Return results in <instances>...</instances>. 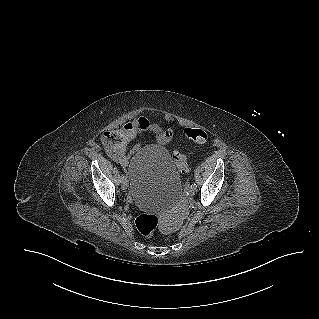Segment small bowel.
<instances>
[{"label": "small bowel", "mask_w": 319, "mask_h": 319, "mask_svg": "<svg viewBox=\"0 0 319 319\" xmlns=\"http://www.w3.org/2000/svg\"><path fill=\"white\" fill-rule=\"evenodd\" d=\"M145 132L154 135L161 144L168 143L174 136L171 128H164L146 117H139L127 124L117 122L106 129L102 135L107 155L120 166L127 167L131 154L139 147L136 145L130 150L129 143L137 135Z\"/></svg>", "instance_id": "small-bowel-1"}]
</instances>
